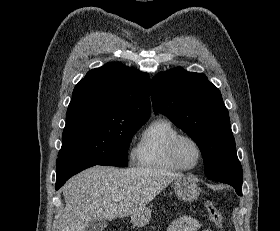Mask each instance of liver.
Returning <instances> with one entry per match:
<instances>
[{
	"mask_svg": "<svg viewBox=\"0 0 280 231\" xmlns=\"http://www.w3.org/2000/svg\"><path fill=\"white\" fill-rule=\"evenodd\" d=\"M183 173L152 167L94 165L77 173L63 187L65 209L58 231H85L92 217L116 219L141 215L147 203Z\"/></svg>",
	"mask_w": 280,
	"mask_h": 231,
	"instance_id": "obj_1",
	"label": "liver"
}]
</instances>
